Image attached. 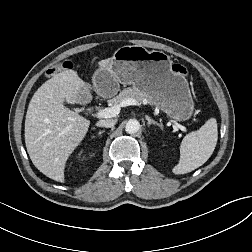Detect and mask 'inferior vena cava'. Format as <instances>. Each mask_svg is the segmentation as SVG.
<instances>
[{"label": "inferior vena cava", "instance_id": "obj_1", "mask_svg": "<svg viewBox=\"0 0 252 252\" xmlns=\"http://www.w3.org/2000/svg\"><path fill=\"white\" fill-rule=\"evenodd\" d=\"M117 120L115 119H104L97 122V126L111 128L116 124Z\"/></svg>", "mask_w": 252, "mask_h": 252}]
</instances>
